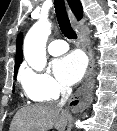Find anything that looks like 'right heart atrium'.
<instances>
[{"label": "right heart atrium", "mask_w": 117, "mask_h": 131, "mask_svg": "<svg viewBox=\"0 0 117 131\" xmlns=\"http://www.w3.org/2000/svg\"><path fill=\"white\" fill-rule=\"evenodd\" d=\"M20 79L26 95L31 99L55 100L67 92V87L47 72L24 68Z\"/></svg>", "instance_id": "1"}]
</instances>
